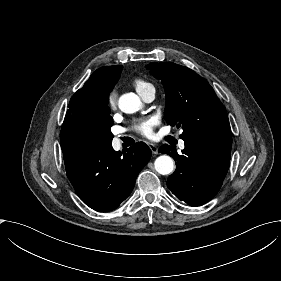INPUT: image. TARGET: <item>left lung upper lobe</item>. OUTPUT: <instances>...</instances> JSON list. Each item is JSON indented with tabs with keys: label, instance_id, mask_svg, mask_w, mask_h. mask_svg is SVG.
Instances as JSON below:
<instances>
[{
	"label": "left lung upper lobe",
	"instance_id": "left-lung-upper-lobe-1",
	"mask_svg": "<svg viewBox=\"0 0 281 281\" xmlns=\"http://www.w3.org/2000/svg\"><path fill=\"white\" fill-rule=\"evenodd\" d=\"M147 68L162 81L164 117L169 125L183 129L181 139L231 138L226 110L206 79L171 62L150 63Z\"/></svg>",
	"mask_w": 281,
	"mask_h": 281
}]
</instances>
